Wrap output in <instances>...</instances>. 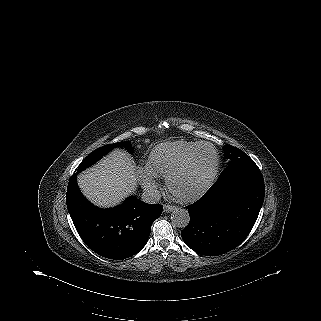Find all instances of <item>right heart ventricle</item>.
Masks as SVG:
<instances>
[{
    "label": "right heart ventricle",
    "instance_id": "e07e8e85",
    "mask_svg": "<svg viewBox=\"0 0 321 321\" xmlns=\"http://www.w3.org/2000/svg\"><path fill=\"white\" fill-rule=\"evenodd\" d=\"M199 143L198 142H164L155 146L147 161L149 171L156 177H165L179 164Z\"/></svg>",
    "mask_w": 321,
    "mask_h": 321
}]
</instances>
